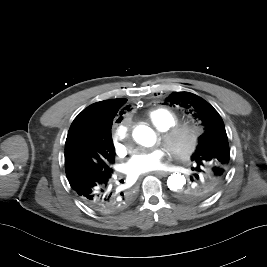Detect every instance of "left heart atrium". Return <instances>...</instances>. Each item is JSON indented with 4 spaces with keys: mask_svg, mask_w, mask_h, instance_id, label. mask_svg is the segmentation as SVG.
Returning a JSON list of instances; mask_svg holds the SVG:
<instances>
[{
    "mask_svg": "<svg viewBox=\"0 0 267 267\" xmlns=\"http://www.w3.org/2000/svg\"><path fill=\"white\" fill-rule=\"evenodd\" d=\"M165 151L156 148L135 153L125 164V172L131 177H139L146 173L163 168Z\"/></svg>",
    "mask_w": 267,
    "mask_h": 267,
    "instance_id": "1",
    "label": "left heart atrium"
}]
</instances>
